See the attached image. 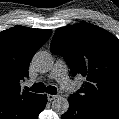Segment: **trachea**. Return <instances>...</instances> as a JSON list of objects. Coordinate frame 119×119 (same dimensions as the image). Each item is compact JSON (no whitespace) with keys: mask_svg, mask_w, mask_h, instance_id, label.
Segmentation results:
<instances>
[{"mask_svg":"<svg viewBox=\"0 0 119 119\" xmlns=\"http://www.w3.org/2000/svg\"><path fill=\"white\" fill-rule=\"evenodd\" d=\"M28 90L41 93V92H46L52 95L57 94V89L54 86H45L43 83H36L34 84L31 88H28Z\"/></svg>","mask_w":119,"mask_h":119,"instance_id":"3493384b","label":"trachea"}]
</instances>
